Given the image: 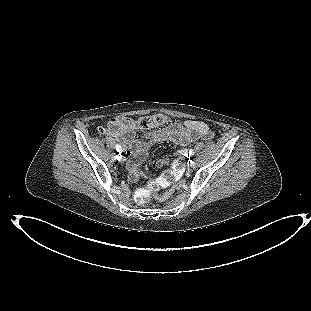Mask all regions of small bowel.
Instances as JSON below:
<instances>
[{
  "label": "small bowel",
  "mask_w": 311,
  "mask_h": 311,
  "mask_svg": "<svg viewBox=\"0 0 311 311\" xmlns=\"http://www.w3.org/2000/svg\"><path fill=\"white\" fill-rule=\"evenodd\" d=\"M117 122V129H111L113 122ZM138 129L137 121L118 116L110 119L107 123V133L112 137L121 140L128 147L126 155L131 157L127 160L126 166L130 173V178L137 181L140 177L139 165L143 162L151 146L161 142H171L178 146H186L198 139H208L212 136L209 126L202 121L186 120L183 123H172L163 128L147 131L144 134L145 140L136 139L135 130ZM98 130H104L98 128ZM186 155V152H183ZM167 163L166 159H160L158 166Z\"/></svg>",
  "instance_id": "small-bowel-1"
}]
</instances>
